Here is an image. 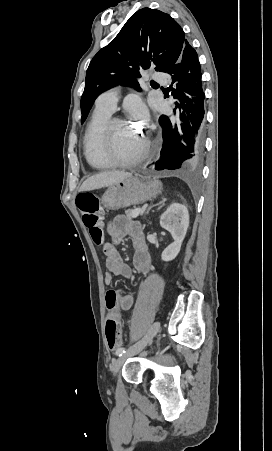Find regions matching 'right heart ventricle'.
I'll return each mask as SVG.
<instances>
[{
    "label": "right heart ventricle",
    "instance_id": "1",
    "mask_svg": "<svg viewBox=\"0 0 272 451\" xmlns=\"http://www.w3.org/2000/svg\"><path fill=\"white\" fill-rule=\"evenodd\" d=\"M110 115L111 111L96 106L85 134V157L88 164L94 169H102L108 165L103 145L99 142L98 135L106 120L110 118Z\"/></svg>",
    "mask_w": 272,
    "mask_h": 451
}]
</instances>
